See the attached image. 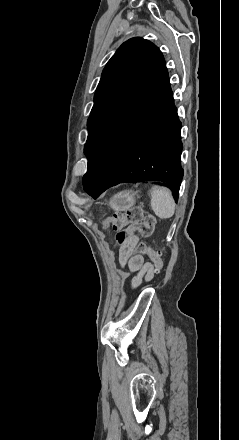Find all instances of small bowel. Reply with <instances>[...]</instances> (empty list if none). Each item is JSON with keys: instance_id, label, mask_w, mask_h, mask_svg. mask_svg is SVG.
I'll return each mask as SVG.
<instances>
[{"instance_id": "obj_1", "label": "small bowel", "mask_w": 239, "mask_h": 440, "mask_svg": "<svg viewBox=\"0 0 239 440\" xmlns=\"http://www.w3.org/2000/svg\"><path fill=\"white\" fill-rule=\"evenodd\" d=\"M138 243V237L133 236L125 243L116 242L115 247L119 248L118 261L121 266L127 265L129 270L134 274L132 286L135 288L142 281L150 280L154 275L153 265L145 263L141 255H136L134 250Z\"/></svg>"}]
</instances>
